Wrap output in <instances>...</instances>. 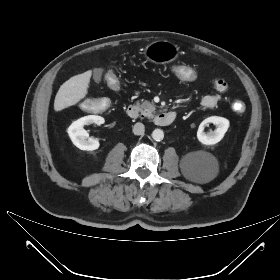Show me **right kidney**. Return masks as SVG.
Here are the masks:
<instances>
[{
    "instance_id": "right-kidney-1",
    "label": "right kidney",
    "mask_w": 280,
    "mask_h": 280,
    "mask_svg": "<svg viewBox=\"0 0 280 280\" xmlns=\"http://www.w3.org/2000/svg\"><path fill=\"white\" fill-rule=\"evenodd\" d=\"M105 122L104 118L97 115H88L74 121L68 128V135L73 144L81 150L93 151L99 148L97 139L89 138V134L83 128L85 125H101Z\"/></svg>"
}]
</instances>
